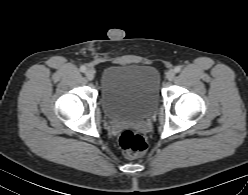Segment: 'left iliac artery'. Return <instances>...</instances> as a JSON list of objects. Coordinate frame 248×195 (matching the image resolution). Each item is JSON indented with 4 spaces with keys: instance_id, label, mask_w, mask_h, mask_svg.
<instances>
[{
    "instance_id": "44dca946",
    "label": "left iliac artery",
    "mask_w": 248,
    "mask_h": 195,
    "mask_svg": "<svg viewBox=\"0 0 248 195\" xmlns=\"http://www.w3.org/2000/svg\"><path fill=\"white\" fill-rule=\"evenodd\" d=\"M174 70H175V72H177V73H178V72H180V71H181V67H180V66H176Z\"/></svg>"
}]
</instances>
